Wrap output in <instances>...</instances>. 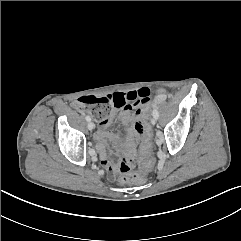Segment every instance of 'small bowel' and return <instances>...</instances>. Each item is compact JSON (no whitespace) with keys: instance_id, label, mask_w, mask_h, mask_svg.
I'll return each instance as SVG.
<instances>
[{"instance_id":"1","label":"small bowel","mask_w":241,"mask_h":241,"mask_svg":"<svg viewBox=\"0 0 241 241\" xmlns=\"http://www.w3.org/2000/svg\"><path fill=\"white\" fill-rule=\"evenodd\" d=\"M164 93V90H160L156 100L160 101L164 97ZM151 94L152 91L148 86L141 85L137 88V90L124 93L117 92L109 96L115 102L114 109L111 116L107 120L100 123V127L95 133L94 139L102 163L106 168L110 179H114L116 177V168L108 160L105 144V129L111 125L113 117L115 116L116 112L119 111V116L126 127L127 137L130 140L126 147L127 154L130 157L135 156L137 151L135 141L139 138L142 139L141 129L143 122L141 118V108L143 106H148L151 103Z\"/></svg>"}]
</instances>
